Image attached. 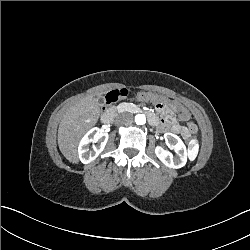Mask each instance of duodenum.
Segmentation results:
<instances>
[{"label": "duodenum", "instance_id": "410a0bca", "mask_svg": "<svg viewBox=\"0 0 250 250\" xmlns=\"http://www.w3.org/2000/svg\"><path fill=\"white\" fill-rule=\"evenodd\" d=\"M102 121L104 124H110L112 123V114L111 112H107L104 114Z\"/></svg>", "mask_w": 250, "mask_h": 250}]
</instances>
